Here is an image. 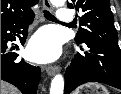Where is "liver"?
<instances>
[{"mask_svg": "<svg viewBox=\"0 0 121 94\" xmlns=\"http://www.w3.org/2000/svg\"><path fill=\"white\" fill-rule=\"evenodd\" d=\"M1 94H20V92L11 84L1 80Z\"/></svg>", "mask_w": 121, "mask_h": 94, "instance_id": "liver-1", "label": "liver"}]
</instances>
